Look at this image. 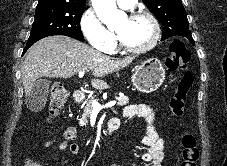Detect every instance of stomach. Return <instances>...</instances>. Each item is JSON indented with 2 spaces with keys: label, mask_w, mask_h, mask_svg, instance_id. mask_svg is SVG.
I'll return each mask as SVG.
<instances>
[{
  "label": "stomach",
  "mask_w": 227,
  "mask_h": 166,
  "mask_svg": "<svg viewBox=\"0 0 227 166\" xmlns=\"http://www.w3.org/2000/svg\"><path fill=\"white\" fill-rule=\"evenodd\" d=\"M165 74V69L158 59H148L136 68L132 83L138 91L151 93L162 85Z\"/></svg>",
  "instance_id": "0dacf381"
}]
</instances>
